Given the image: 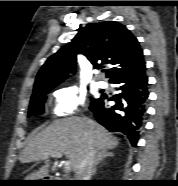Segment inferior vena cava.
Returning <instances> with one entry per match:
<instances>
[{
	"instance_id": "1",
	"label": "inferior vena cava",
	"mask_w": 178,
	"mask_h": 186,
	"mask_svg": "<svg viewBox=\"0 0 178 186\" xmlns=\"http://www.w3.org/2000/svg\"><path fill=\"white\" fill-rule=\"evenodd\" d=\"M96 160V149L91 139L88 140L83 158L75 173V180H91Z\"/></svg>"
}]
</instances>
